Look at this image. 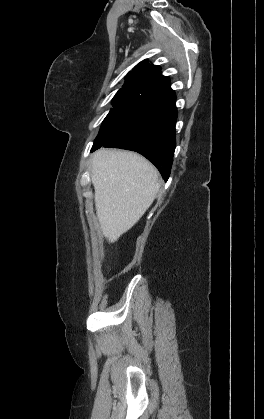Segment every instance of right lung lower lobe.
<instances>
[{
	"label": "right lung lower lobe",
	"instance_id": "1",
	"mask_svg": "<svg viewBox=\"0 0 264 419\" xmlns=\"http://www.w3.org/2000/svg\"><path fill=\"white\" fill-rule=\"evenodd\" d=\"M174 93L147 100L133 120L104 147L136 151L150 160L168 180L175 150L177 109ZM102 146L91 149L94 151Z\"/></svg>",
	"mask_w": 264,
	"mask_h": 419
}]
</instances>
